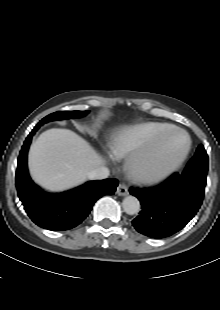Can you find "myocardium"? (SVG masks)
Masks as SVG:
<instances>
[{
	"mask_svg": "<svg viewBox=\"0 0 220 310\" xmlns=\"http://www.w3.org/2000/svg\"><path fill=\"white\" fill-rule=\"evenodd\" d=\"M172 133H179L185 137V145L179 156L167 167L151 172L148 164L152 157L158 151L161 143L166 140ZM191 149V140L186 131L181 128L171 126L170 128L159 133L154 143L149 149H140L131 154L127 161V168L134 180L143 184H156L166 180L175 173L186 160Z\"/></svg>",
	"mask_w": 220,
	"mask_h": 310,
	"instance_id": "1",
	"label": "myocardium"
}]
</instances>
